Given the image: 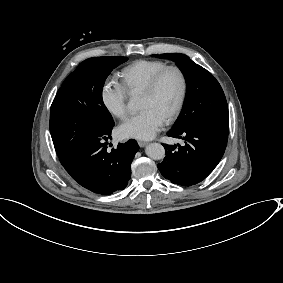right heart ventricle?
Masks as SVG:
<instances>
[{
  "label": "right heart ventricle",
  "mask_w": 283,
  "mask_h": 283,
  "mask_svg": "<svg viewBox=\"0 0 283 283\" xmlns=\"http://www.w3.org/2000/svg\"><path fill=\"white\" fill-rule=\"evenodd\" d=\"M168 63L163 60L141 59L123 67L119 76L129 95L141 92L148 81Z\"/></svg>",
  "instance_id": "right-heart-ventricle-1"
}]
</instances>
